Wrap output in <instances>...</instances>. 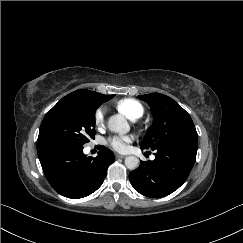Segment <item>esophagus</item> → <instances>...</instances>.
<instances>
[{
  "label": "esophagus",
  "mask_w": 243,
  "mask_h": 243,
  "mask_svg": "<svg viewBox=\"0 0 243 243\" xmlns=\"http://www.w3.org/2000/svg\"><path fill=\"white\" fill-rule=\"evenodd\" d=\"M115 157H116L117 159H118V158L124 159L126 156L121 155V154H115Z\"/></svg>",
  "instance_id": "1"
}]
</instances>
